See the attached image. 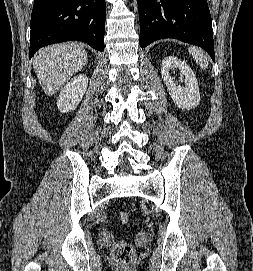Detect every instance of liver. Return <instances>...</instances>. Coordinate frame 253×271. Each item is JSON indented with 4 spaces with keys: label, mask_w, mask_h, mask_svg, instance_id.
<instances>
[{
    "label": "liver",
    "mask_w": 253,
    "mask_h": 271,
    "mask_svg": "<svg viewBox=\"0 0 253 271\" xmlns=\"http://www.w3.org/2000/svg\"><path fill=\"white\" fill-rule=\"evenodd\" d=\"M88 61L83 45L77 42L56 44L41 49L33 66L42 90L53 95Z\"/></svg>",
    "instance_id": "obj_1"
}]
</instances>
